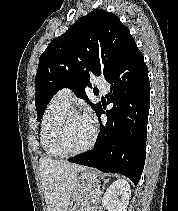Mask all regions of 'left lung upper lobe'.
I'll return each mask as SVG.
<instances>
[{"label": "left lung upper lobe", "mask_w": 178, "mask_h": 211, "mask_svg": "<svg viewBox=\"0 0 178 211\" xmlns=\"http://www.w3.org/2000/svg\"><path fill=\"white\" fill-rule=\"evenodd\" d=\"M135 46L129 29L112 13L95 9L78 19L39 58L35 77L38 121L53 95L64 87L82 96L97 112L101 105L92 104L85 95L90 75L106 79Z\"/></svg>", "instance_id": "left-lung-upper-lobe-1"}]
</instances>
